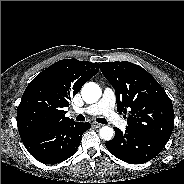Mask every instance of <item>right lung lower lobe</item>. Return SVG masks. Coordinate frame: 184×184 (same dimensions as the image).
Listing matches in <instances>:
<instances>
[{"label": "right lung lower lobe", "mask_w": 184, "mask_h": 184, "mask_svg": "<svg viewBox=\"0 0 184 184\" xmlns=\"http://www.w3.org/2000/svg\"><path fill=\"white\" fill-rule=\"evenodd\" d=\"M90 123L74 120L57 127L39 131L22 138L28 152L45 164H57L70 158L77 151L83 133L90 128Z\"/></svg>", "instance_id": "right-lung-lower-lobe-1"}]
</instances>
